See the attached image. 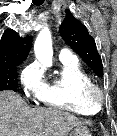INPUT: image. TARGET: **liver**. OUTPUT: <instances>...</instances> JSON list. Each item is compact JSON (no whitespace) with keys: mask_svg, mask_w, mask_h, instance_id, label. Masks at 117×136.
<instances>
[{"mask_svg":"<svg viewBox=\"0 0 117 136\" xmlns=\"http://www.w3.org/2000/svg\"><path fill=\"white\" fill-rule=\"evenodd\" d=\"M84 122L54 108H31L12 91L0 92V136H67Z\"/></svg>","mask_w":117,"mask_h":136,"instance_id":"6515ba94","label":"liver"}]
</instances>
